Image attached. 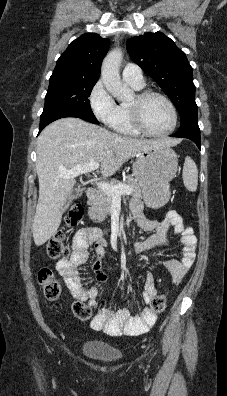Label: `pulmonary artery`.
<instances>
[{"instance_id": "1", "label": "pulmonary artery", "mask_w": 227, "mask_h": 396, "mask_svg": "<svg viewBox=\"0 0 227 396\" xmlns=\"http://www.w3.org/2000/svg\"><path fill=\"white\" fill-rule=\"evenodd\" d=\"M122 77L129 84H133L138 87H142L144 85L142 70L134 63H128L124 66L122 70Z\"/></svg>"}]
</instances>
